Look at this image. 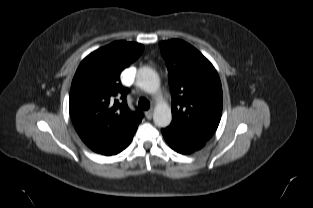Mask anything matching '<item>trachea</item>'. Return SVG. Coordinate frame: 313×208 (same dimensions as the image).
<instances>
[{
  "instance_id": "1",
  "label": "trachea",
  "mask_w": 313,
  "mask_h": 208,
  "mask_svg": "<svg viewBox=\"0 0 313 208\" xmlns=\"http://www.w3.org/2000/svg\"><path fill=\"white\" fill-rule=\"evenodd\" d=\"M138 107L142 110H148L150 108V102L146 98H140Z\"/></svg>"
}]
</instances>
